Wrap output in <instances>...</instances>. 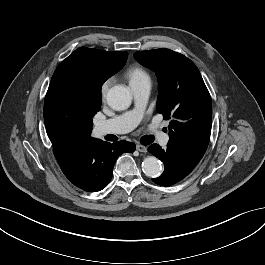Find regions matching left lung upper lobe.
Returning a JSON list of instances; mask_svg holds the SVG:
<instances>
[{
  "mask_svg": "<svg viewBox=\"0 0 265 265\" xmlns=\"http://www.w3.org/2000/svg\"><path fill=\"white\" fill-rule=\"evenodd\" d=\"M134 57L157 73V111L171 119L167 149L192 171L206 152L212 126L211 98L199 70L169 49L138 51Z\"/></svg>",
  "mask_w": 265,
  "mask_h": 265,
  "instance_id": "1",
  "label": "left lung upper lobe"
}]
</instances>
